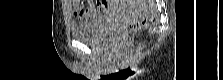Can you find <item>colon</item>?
Masks as SVG:
<instances>
[{"label": "colon", "mask_w": 223, "mask_h": 80, "mask_svg": "<svg viewBox=\"0 0 223 80\" xmlns=\"http://www.w3.org/2000/svg\"><path fill=\"white\" fill-rule=\"evenodd\" d=\"M72 2L81 5L79 0H73ZM155 21H156V16L153 13H150L137 22L124 24L122 27H120L118 30L115 31L113 37L115 39L121 38L126 34H128L129 32H131L132 30L136 29L137 27L150 26L153 25Z\"/></svg>", "instance_id": "5ec220e1"}]
</instances>
